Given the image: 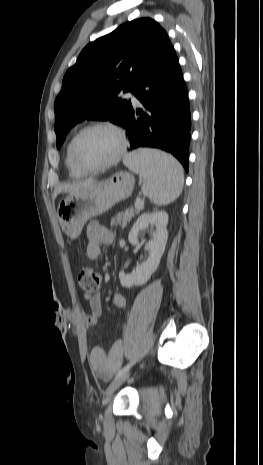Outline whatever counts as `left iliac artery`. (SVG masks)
Returning a JSON list of instances; mask_svg holds the SVG:
<instances>
[{
	"mask_svg": "<svg viewBox=\"0 0 263 465\" xmlns=\"http://www.w3.org/2000/svg\"><path fill=\"white\" fill-rule=\"evenodd\" d=\"M134 362H135V361H132V362H130L129 364H127L126 366H124V367L117 373V375H116L115 378H118V377H120L121 375H123L124 373H126V372L130 369V367L134 364Z\"/></svg>",
	"mask_w": 263,
	"mask_h": 465,
	"instance_id": "obj_1",
	"label": "left iliac artery"
}]
</instances>
